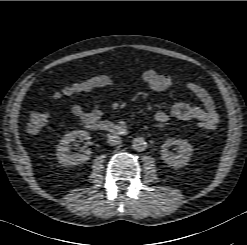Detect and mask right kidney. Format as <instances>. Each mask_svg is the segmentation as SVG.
Returning a JSON list of instances; mask_svg holds the SVG:
<instances>
[{
  "label": "right kidney",
  "instance_id": "right-kidney-1",
  "mask_svg": "<svg viewBox=\"0 0 247 245\" xmlns=\"http://www.w3.org/2000/svg\"><path fill=\"white\" fill-rule=\"evenodd\" d=\"M80 139L81 141L90 140V134L85 130H74L72 132L67 133L57 145V159L60 164L63 166L67 165H78L82 164L90 159L91 151L89 149L83 151V153H74L71 154L69 151V144L76 139Z\"/></svg>",
  "mask_w": 247,
  "mask_h": 245
}]
</instances>
